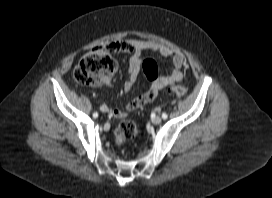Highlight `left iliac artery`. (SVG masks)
Listing matches in <instances>:
<instances>
[{"instance_id": "44dca946", "label": "left iliac artery", "mask_w": 272, "mask_h": 198, "mask_svg": "<svg viewBox=\"0 0 272 198\" xmlns=\"http://www.w3.org/2000/svg\"><path fill=\"white\" fill-rule=\"evenodd\" d=\"M167 117H168V116H167L166 113H163V114H162V118H163V119H166Z\"/></svg>"}]
</instances>
